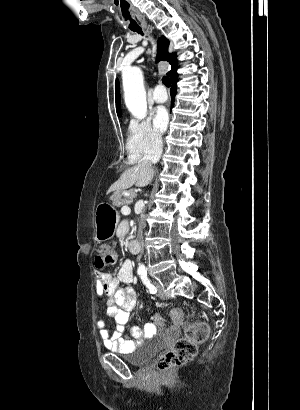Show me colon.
I'll use <instances>...</instances> for the list:
<instances>
[{
    "label": "colon",
    "instance_id": "5ec220e1",
    "mask_svg": "<svg viewBox=\"0 0 300 410\" xmlns=\"http://www.w3.org/2000/svg\"><path fill=\"white\" fill-rule=\"evenodd\" d=\"M116 261V252L113 249H104L95 257V266L101 269L113 266ZM182 313L181 308H174L171 323L179 325L181 330H186V337L177 340L167 352L158 358L157 368L160 372H166L190 361L195 356L198 345L204 343L209 337L210 329L206 323L189 324Z\"/></svg>",
    "mask_w": 300,
    "mask_h": 410
}]
</instances>
